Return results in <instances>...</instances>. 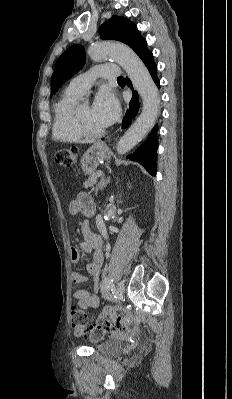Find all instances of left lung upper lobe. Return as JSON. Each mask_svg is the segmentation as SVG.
<instances>
[{"mask_svg":"<svg viewBox=\"0 0 232 399\" xmlns=\"http://www.w3.org/2000/svg\"><path fill=\"white\" fill-rule=\"evenodd\" d=\"M103 40H117L129 45L135 52L146 45L137 27L128 19L112 16L99 28ZM85 64L84 49L81 45L69 47L57 60L51 78V92H56L69 78Z\"/></svg>","mask_w":232,"mask_h":399,"instance_id":"1","label":"left lung upper lobe"}]
</instances>
